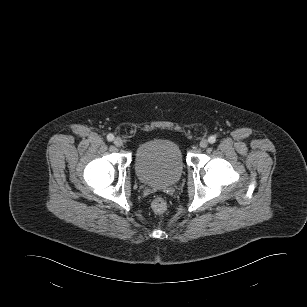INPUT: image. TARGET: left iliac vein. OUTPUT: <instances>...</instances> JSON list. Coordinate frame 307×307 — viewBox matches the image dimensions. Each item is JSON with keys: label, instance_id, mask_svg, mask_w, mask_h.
Listing matches in <instances>:
<instances>
[{"label": "left iliac vein", "instance_id": "obj_1", "mask_svg": "<svg viewBox=\"0 0 307 307\" xmlns=\"http://www.w3.org/2000/svg\"><path fill=\"white\" fill-rule=\"evenodd\" d=\"M201 148H206L208 146V141L206 139H202L199 143Z\"/></svg>", "mask_w": 307, "mask_h": 307}]
</instances>
